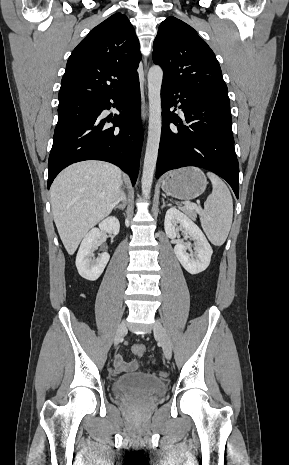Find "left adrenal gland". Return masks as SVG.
Segmentation results:
<instances>
[{
  "instance_id": "a2214340",
  "label": "left adrenal gland",
  "mask_w": 289,
  "mask_h": 465,
  "mask_svg": "<svg viewBox=\"0 0 289 465\" xmlns=\"http://www.w3.org/2000/svg\"><path fill=\"white\" fill-rule=\"evenodd\" d=\"M162 203H163V204H162L161 208H164V207L166 206V203H165V199H164V198H162Z\"/></svg>"
}]
</instances>
